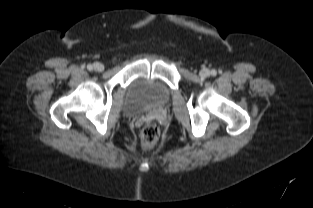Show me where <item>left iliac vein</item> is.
I'll list each match as a JSON object with an SVG mask.
<instances>
[{
  "label": "left iliac vein",
  "mask_w": 313,
  "mask_h": 208,
  "mask_svg": "<svg viewBox=\"0 0 313 208\" xmlns=\"http://www.w3.org/2000/svg\"><path fill=\"white\" fill-rule=\"evenodd\" d=\"M210 75V71L208 69H202L200 71V76L201 77H208Z\"/></svg>",
  "instance_id": "obj_1"
}]
</instances>
